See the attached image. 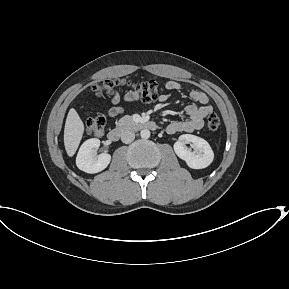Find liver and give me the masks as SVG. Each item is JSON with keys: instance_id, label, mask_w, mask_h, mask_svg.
<instances>
[{"instance_id": "obj_1", "label": "liver", "mask_w": 289, "mask_h": 289, "mask_svg": "<svg viewBox=\"0 0 289 289\" xmlns=\"http://www.w3.org/2000/svg\"><path fill=\"white\" fill-rule=\"evenodd\" d=\"M84 124L74 108L68 112L64 128V145L68 156L72 157L82 139Z\"/></svg>"}]
</instances>
